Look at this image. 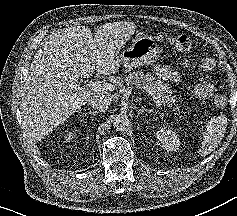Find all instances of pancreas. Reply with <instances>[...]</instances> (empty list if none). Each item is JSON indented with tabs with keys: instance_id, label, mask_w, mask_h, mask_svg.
Masks as SVG:
<instances>
[{
	"instance_id": "obj_1",
	"label": "pancreas",
	"mask_w": 237,
	"mask_h": 216,
	"mask_svg": "<svg viewBox=\"0 0 237 216\" xmlns=\"http://www.w3.org/2000/svg\"><path fill=\"white\" fill-rule=\"evenodd\" d=\"M126 81L131 86L147 91L151 96L155 97L157 94L162 97V99L172 102L173 106H179L181 104V99L172 95V90L160 79L151 74L145 75L142 71L133 72L129 74Z\"/></svg>"
}]
</instances>
